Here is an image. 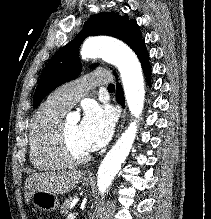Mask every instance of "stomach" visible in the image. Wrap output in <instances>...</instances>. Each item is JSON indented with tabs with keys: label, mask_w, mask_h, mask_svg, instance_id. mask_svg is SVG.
<instances>
[{
	"label": "stomach",
	"mask_w": 211,
	"mask_h": 219,
	"mask_svg": "<svg viewBox=\"0 0 211 219\" xmlns=\"http://www.w3.org/2000/svg\"><path fill=\"white\" fill-rule=\"evenodd\" d=\"M89 183L90 180L84 177L83 184L88 185ZM30 200L36 208L44 211H55L59 207L57 195L42 190L34 192Z\"/></svg>",
	"instance_id": "1"
}]
</instances>
